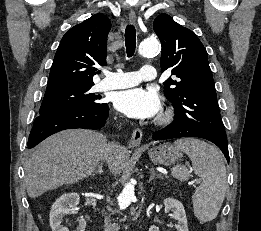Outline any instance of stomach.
Listing matches in <instances>:
<instances>
[{
  "label": "stomach",
  "mask_w": 261,
  "mask_h": 231,
  "mask_svg": "<svg viewBox=\"0 0 261 231\" xmlns=\"http://www.w3.org/2000/svg\"><path fill=\"white\" fill-rule=\"evenodd\" d=\"M182 152L183 150L179 147L170 143H164L148 150V155L155 164L169 166L175 164L182 157Z\"/></svg>",
  "instance_id": "stomach-1"
}]
</instances>
